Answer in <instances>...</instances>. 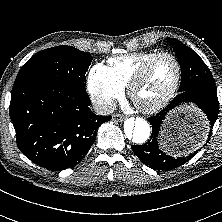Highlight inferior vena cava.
<instances>
[{"instance_id":"obj_1","label":"inferior vena cava","mask_w":222,"mask_h":222,"mask_svg":"<svg viewBox=\"0 0 222 222\" xmlns=\"http://www.w3.org/2000/svg\"><path fill=\"white\" fill-rule=\"evenodd\" d=\"M94 111L99 115H109L116 109V104L113 101L95 102L93 104Z\"/></svg>"}]
</instances>
